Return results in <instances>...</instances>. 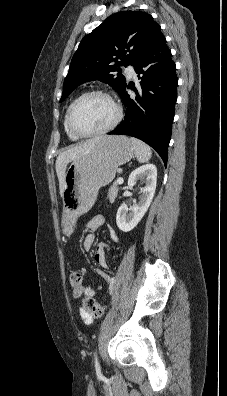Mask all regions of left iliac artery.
<instances>
[{
    "label": "left iliac artery",
    "mask_w": 227,
    "mask_h": 396,
    "mask_svg": "<svg viewBox=\"0 0 227 396\" xmlns=\"http://www.w3.org/2000/svg\"><path fill=\"white\" fill-rule=\"evenodd\" d=\"M94 359H95V369H96V372L97 373H100V365H99V362H98V358H97V354H96V352L94 353Z\"/></svg>",
    "instance_id": "1"
}]
</instances>
